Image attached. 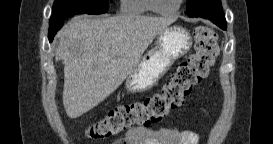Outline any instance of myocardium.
<instances>
[{
  "label": "myocardium",
  "mask_w": 273,
  "mask_h": 144,
  "mask_svg": "<svg viewBox=\"0 0 273 144\" xmlns=\"http://www.w3.org/2000/svg\"><path fill=\"white\" fill-rule=\"evenodd\" d=\"M184 0H178L177 5L169 10H162L158 8L157 6V0H148L147 1V6L149 8V11H152L153 13L157 15H172L175 14L182 6Z\"/></svg>",
  "instance_id": "myocardium-1"
}]
</instances>
